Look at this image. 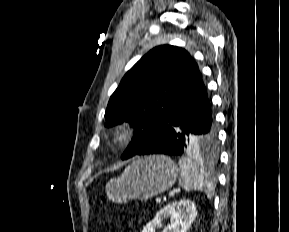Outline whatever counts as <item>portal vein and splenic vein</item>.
I'll return each mask as SVG.
<instances>
[{"mask_svg": "<svg viewBox=\"0 0 289 232\" xmlns=\"http://www.w3.org/2000/svg\"><path fill=\"white\" fill-rule=\"evenodd\" d=\"M179 191H180V190H179ZM155 202H156V203H160V202H161V198H159V197L156 198V199H155Z\"/></svg>", "mask_w": 289, "mask_h": 232, "instance_id": "18ae733b", "label": "portal vein and splenic vein"}]
</instances>
